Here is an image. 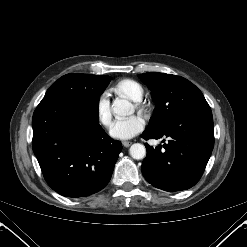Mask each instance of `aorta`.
Here are the masks:
<instances>
[{
	"label": "aorta",
	"mask_w": 247,
	"mask_h": 247,
	"mask_svg": "<svg viewBox=\"0 0 247 247\" xmlns=\"http://www.w3.org/2000/svg\"><path fill=\"white\" fill-rule=\"evenodd\" d=\"M113 113L117 116H128L133 113L132 104L126 99H116L112 105ZM130 155L133 159L140 160L146 156V148L140 143L130 147Z\"/></svg>",
	"instance_id": "obj_1"
}]
</instances>
